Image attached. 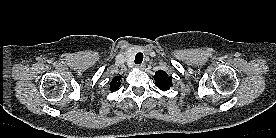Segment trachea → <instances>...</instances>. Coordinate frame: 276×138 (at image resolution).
I'll use <instances>...</instances> for the list:
<instances>
[{
  "instance_id": "1",
  "label": "trachea",
  "mask_w": 276,
  "mask_h": 138,
  "mask_svg": "<svg viewBox=\"0 0 276 138\" xmlns=\"http://www.w3.org/2000/svg\"><path fill=\"white\" fill-rule=\"evenodd\" d=\"M143 61V54L142 53H137L135 56V64H141Z\"/></svg>"
}]
</instances>
